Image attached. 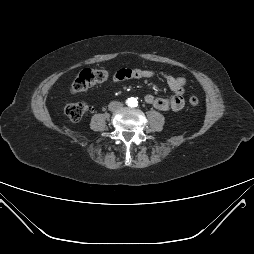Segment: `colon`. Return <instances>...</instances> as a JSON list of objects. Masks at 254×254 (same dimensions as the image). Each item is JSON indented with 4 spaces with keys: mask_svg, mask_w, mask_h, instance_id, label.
Wrapping results in <instances>:
<instances>
[{
    "mask_svg": "<svg viewBox=\"0 0 254 254\" xmlns=\"http://www.w3.org/2000/svg\"><path fill=\"white\" fill-rule=\"evenodd\" d=\"M109 78V72L103 69H84L71 84V90L73 92H82L90 88L91 86L105 82ZM199 99L196 96L189 98V104L191 106H198ZM88 111V105L83 102L69 103L65 106V114L72 121L81 120Z\"/></svg>",
    "mask_w": 254,
    "mask_h": 254,
    "instance_id": "1",
    "label": "colon"
}]
</instances>
